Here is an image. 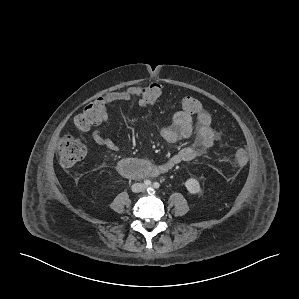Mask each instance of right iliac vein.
<instances>
[{"mask_svg": "<svg viewBox=\"0 0 299 299\" xmlns=\"http://www.w3.org/2000/svg\"><path fill=\"white\" fill-rule=\"evenodd\" d=\"M143 189V186L141 184H137L135 186V190H142Z\"/></svg>", "mask_w": 299, "mask_h": 299, "instance_id": "right-iliac-vein-1", "label": "right iliac vein"}]
</instances>
